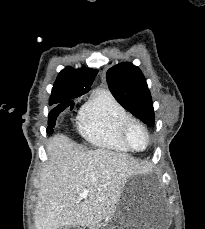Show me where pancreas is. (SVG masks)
<instances>
[{"mask_svg": "<svg viewBox=\"0 0 205 229\" xmlns=\"http://www.w3.org/2000/svg\"><path fill=\"white\" fill-rule=\"evenodd\" d=\"M91 229H98V228L94 226V227H92Z\"/></svg>", "mask_w": 205, "mask_h": 229, "instance_id": "obj_1", "label": "pancreas"}]
</instances>
